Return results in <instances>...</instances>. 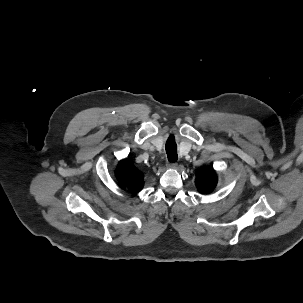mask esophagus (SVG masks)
Instances as JSON below:
<instances>
[{"label":"esophagus","mask_w":303,"mask_h":303,"mask_svg":"<svg viewBox=\"0 0 303 303\" xmlns=\"http://www.w3.org/2000/svg\"><path fill=\"white\" fill-rule=\"evenodd\" d=\"M168 166H169L170 168H173V169L178 168V165H177V163H175V162H170V163L168 164Z\"/></svg>","instance_id":"esophagus-1"}]
</instances>
